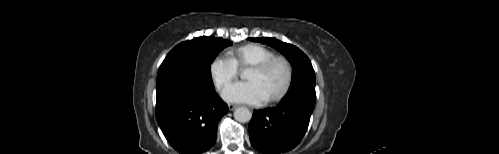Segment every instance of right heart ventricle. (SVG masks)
I'll return each mask as SVG.
<instances>
[{
	"label": "right heart ventricle",
	"instance_id": "1",
	"mask_svg": "<svg viewBox=\"0 0 499 154\" xmlns=\"http://www.w3.org/2000/svg\"><path fill=\"white\" fill-rule=\"evenodd\" d=\"M275 52L261 44L250 43L232 49L227 53V57L238 67L248 68L271 56Z\"/></svg>",
	"mask_w": 499,
	"mask_h": 154
}]
</instances>
